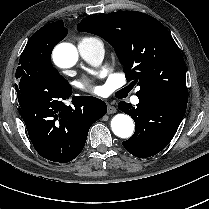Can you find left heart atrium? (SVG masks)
Instances as JSON below:
<instances>
[{
	"label": "left heart atrium",
	"mask_w": 209,
	"mask_h": 209,
	"mask_svg": "<svg viewBox=\"0 0 209 209\" xmlns=\"http://www.w3.org/2000/svg\"><path fill=\"white\" fill-rule=\"evenodd\" d=\"M82 88L89 90L91 93L99 95L101 94V89L99 86L91 85L88 83V81H84V83L81 84Z\"/></svg>",
	"instance_id": "left-heart-atrium-1"
}]
</instances>
